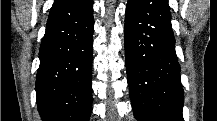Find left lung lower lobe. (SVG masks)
I'll return each mask as SVG.
<instances>
[{
  "instance_id": "obj_1",
  "label": "left lung lower lobe",
  "mask_w": 217,
  "mask_h": 121,
  "mask_svg": "<svg viewBox=\"0 0 217 121\" xmlns=\"http://www.w3.org/2000/svg\"><path fill=\"white\" fill-rule=\"evenodd\" d=\"M168 0H128L125 59L138 121H183L184 92Z\"/></svg>"
}]
</instances>
